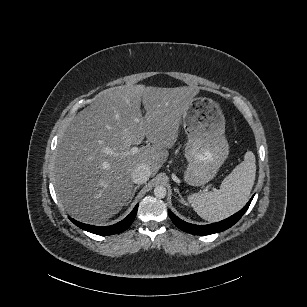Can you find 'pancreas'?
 Segmentation results:
<instances>
[{
    "mask_svg": "<svg viewBox=\"0 0 307 307\" xmlns=\"http://www.w3.org/2000/svg\"><path fill=\"white\" fill-rule=\"evenodd\" d=\"M184 169V167L183 166H181V170H183Z\"/></svg>",
    "mask_w": 307,
    "mask_h": 307,
    "instance_id": "cf45deb5",
    "label": "pancreas"
}]
</instances>
